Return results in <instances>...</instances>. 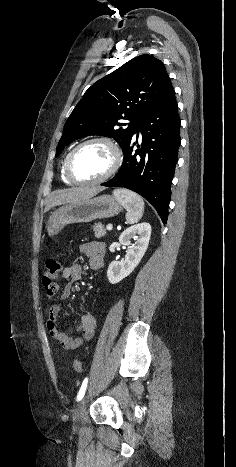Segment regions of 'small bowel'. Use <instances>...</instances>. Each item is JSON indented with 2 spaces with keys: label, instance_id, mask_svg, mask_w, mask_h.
<instances>
[{
  "label": "small bowel",
  "instance_id": "c3829d8e",
  "mask_svg": "<svg viewBox=\"0 0 236 467\" xmlns=\"http://www.w3.org/2000/svg\"><path fill=\"white\" fill-rule=\"evenodd\" d=\"M80 251L88 257L89 267L93 271H98L103 267L105 257V245L102 242H89L80 246ZM82 277V267L79 264L67 266L62 270L61 278L68 284L61 290V285L55 283L47 289V296L53 298L60 292V298L65 299L70 295L72 283L77 282ZM60 312V305L57 303H49L48 319L46 322L47 331L50 337L58 342L64 349H78L85 341L89 340L96 328V319L88 311L81 310L79 316V324L77 331L81 334L80 337H71L60 331L57 324V317Z\"/></svg>",
  "mask_w": 236,
  "mask_h": 467
}]
</instances>
